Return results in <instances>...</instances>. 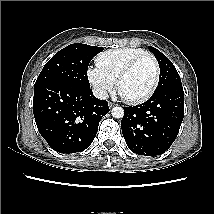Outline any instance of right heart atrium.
Wrapping results in <instances>:
<instances>
[{"label":"right heart atrium","instance_id":"d8ad5b80","mask_svg":"<svg viewBox=\"0 0 214 214\" xmlns=\"http://www.w3.org/2000/svg\"><path fill=\"white\" fill-rule=\"evenodd\" d=\"M87 78L95 92L101 97L107 96L116 85V80L97 66L88 69Z\"/></svg>","mask_w":214,"mask_h":214}]
</instances>
